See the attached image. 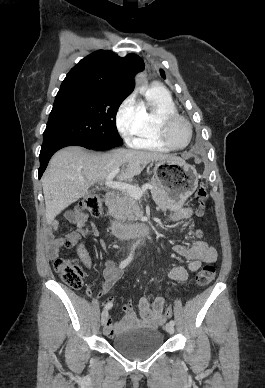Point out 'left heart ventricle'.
<instances>
[{
  "label": "left heart ventricle",
  "instance_id": "1",
  "mask_svg": "<svg viewBox=\"0 0 265 388\" xmlns=\"http://www.w3.org/2000/svg\"><path fill=\"white\" fill-rule=\"evenodd\" d=\"M168 137L176 146L184 145L188 140V131L179 120H173L168 126Z\"/></svg>",
  "mask_w": 265,
  "mask_h": 388
}]
</instances>
